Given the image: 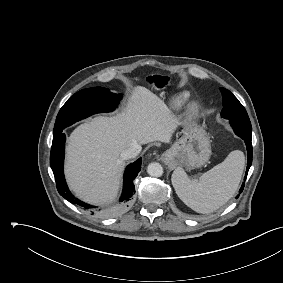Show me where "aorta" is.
I'll list each match as a JSON object with an SVG mask.
<instances>
[{
    "label": "aorta",
    "instance_id": "1",
    "mask_svg": "<svg viewBox=\"0 0 283 283\" xmlns=\"http://www.w3.org/2000/svg\"><path fill=\"white\" fill-rule=\"evenodd\" d=\"M147 172L150 176L160 177L163 174V167L159 163L153 162L148 165Z\"/></svg>",
    "mask_w": 283,
    "mask_h": 283
}]
</instances>
